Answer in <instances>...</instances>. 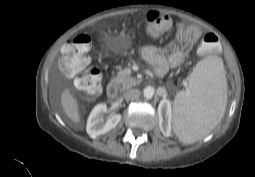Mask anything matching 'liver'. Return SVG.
Instances as JSON below:
<instances>
[{
    "label": "liver",
    "mask_w": 255,
    "mask_h": 177,
    "mask_svg": "<svg viewBox=\"0 0 255 177\" xmlns=\"http://www.w3.org/2000/svg\"><path fill=\"white\" fill-rule=\"evenodd\" d=\"M61 104L67 117L75 124L80 122L78 104L68 89L61 94Z\"/></svg>",
    "instance_id": "obj_1"
}]
</instances>
